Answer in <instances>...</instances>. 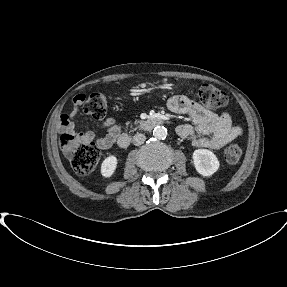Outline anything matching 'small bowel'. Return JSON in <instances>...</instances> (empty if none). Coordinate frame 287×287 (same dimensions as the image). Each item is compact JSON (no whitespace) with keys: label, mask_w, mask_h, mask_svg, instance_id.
Masks as SVG:
<instances>
[{"label":"small bowel","mask_w":287,"mask_h":287,"mask_svg":"<svg viewBox=\"0 0 287 287\" xmlns=\"http://www.w3.org/2000/svg\"><path fill=\"white\" fill-rule=\"evenodd\" d=\"M167 106L170 111L188 115L194 126L182 124L177 127V134L189 139L196 147L220 149L230 141L237 138L241 130L232 124L231 116L227 112L214 113L186 96H173L169 98ZM78 99L73 101V109L59 118V129L63 132L75 131V120L78 116ZM106 129L104 136L96 137L92 131L82 133L90 141L95 140L102 149L110 148L121 134V126L114 118H107L102 122Z\"/></svg>","instance_id":"obj_1"}]
</instances>
